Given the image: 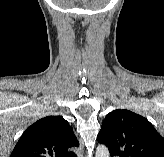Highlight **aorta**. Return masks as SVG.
I'll list each match as a JSON object with an SVG mask.
<instances>
[{"instance_id":"1","label":"aorta","mask_w":164,"mask_h":157,"mask_svg":"<svg viewBox=\"0 0 164 157\" xmlns=\"http://www.w3.org/2000/svg\"><path fill=\"white\" fill-rule=\"evenodd\" d=\"M96 157H109V150L105 145H99L96 149Z\"/></svg>"}]
</instances>
